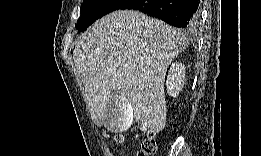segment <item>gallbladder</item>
I'll use <instances>...</instances> for the list:
<instances>
[{
    "label": "gallbladder",
    "mask_w": 261,
    "mask_h": 156,
    "mask_svg": "<svg viewBox=\"0 0 261 156\" xmlns=\"http://www.w3.org/2000/svg\"><path fill=\"white\" fill-rule=\"evenodd\" d=\"M124 94H113L112 101H108L104 113V126L111 131L121 132L132 125L133 111L131 104L124 99Z\"/></svg>",
    "instance_id": "bac80fb5"
}]
</instances>
